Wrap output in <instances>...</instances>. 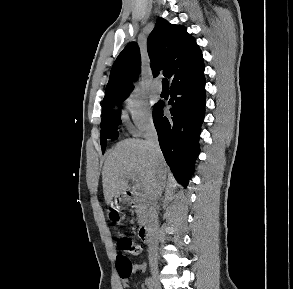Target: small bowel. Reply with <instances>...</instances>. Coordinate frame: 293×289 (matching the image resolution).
Segmentation results:
<instances>
[{
	"label": "small bowel",
	"instance_id": "obj_1",
	"mask_svg": "<svg viewBox=\"0 0 293 289\" xmlns=\"http://www.w3.org/2000/svg\"><path fill=\"white\" fill-rule=\"evenodd\" d=\"M134 270L136 271V272H144L145 270H146V264L145 263H143V262H141V263H137V264H135L134 265ZM122 287L124 288V289H126L127 287H128V283H127V281H123L122 282Z\"/></svg>",
	"mask_w": 293,
	"mask_h": 289
}]
</instances>
